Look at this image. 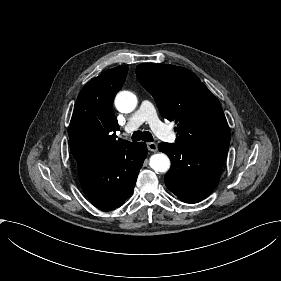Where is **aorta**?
Wrapping results in <instances>:
<instances>
[{
	"label": "aorta",
	"instance_id": "1",
	"mask_svg": "<svg viewBox=\"0 0 281 281\" xmlns=\"http://www.w3.org/2000/svg\"><path fill=\"white\" fill-rule=\"evenodd\" d=\"M137 97L130 91H121L115 97L116 109L121 113H130L137 106ZM150 167L157 173L167 172L170 168V159L164 153L153 154L150 157Z\"/></svg>",
	"mask_w": 281,
	"mask_h": 281
}]
</instances>
